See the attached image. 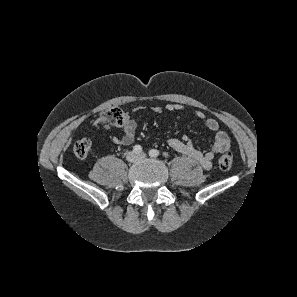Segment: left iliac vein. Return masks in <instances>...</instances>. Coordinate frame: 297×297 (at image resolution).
<instances>
[{"mask_svg": "<svg viewBox=\"0 0 297 297\" xmlns=\"http://www.w3.org/2000/svg\"><path fill=\"white\" fill-rule=\"evenodd\" d=\"M137 156H138V159H143L146 157V153L142 152V153L138 154Z\"/></svg>", "mask_w": 297, "mask_h": 297, "instance_id": "left-iliac-vein-1", "label": "left iliac vein"}]
</instances>
